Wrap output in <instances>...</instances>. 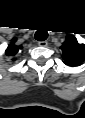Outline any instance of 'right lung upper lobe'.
I'll use <instances>...</instances> for the list:
<instances>
[{"label": "right lung upper lobe", "instance_id": "1", "mask_svg": "<svg viewBox=\"0 0 85 118\" xmlns=\"http://www.w3.org/2000/svg\"><path fill=\"white\" fill-rule=\"evenodd\" d=\"M17 52V48L15 47H10L8 50L9 55H14Z\"/></svg>", "mask_w": 85, "mask_h": 118}]
</instances>
